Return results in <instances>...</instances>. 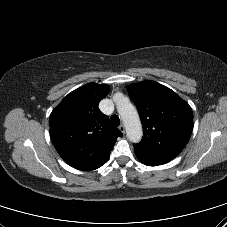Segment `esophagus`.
<instances>
[{"label":"esophagus","instance_id":"34e87169","mask_svg":"<svg viewBox=\"0 0 227 227\" xmlns=\"http://www.w3.org/2000/svg\"><path fill=\"white\" fill-rule=\"evenodd\" d=\"M119 130L124 134L125 133V126L123 124H121L119 126Z\"/></svg>","mask_w":227,"mask_h":227}]
</instances>
